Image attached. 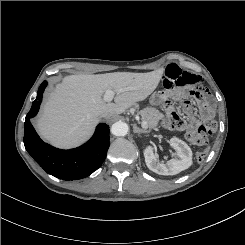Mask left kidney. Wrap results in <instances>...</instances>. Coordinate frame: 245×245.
Masks as SVG:
<instances>
[{"mask_svg": "<svg viewBox=\"0 0 245 245\" xmlns=\"http://www.w3.org/2000/svg\"><path fill=\"white\" fill-rule=\"evenodd\" d=\"M169 144L176 151L179 159H171L166 164L159 162L152 146H147L144 149L147 167L159 175H176L192 165V151L184 141L178 138H171Z\"/></svg>", "mask_w": 245, "mask_h": 245, "instance_id": "obj_1", "label": "left kidney"}]
</instances>
